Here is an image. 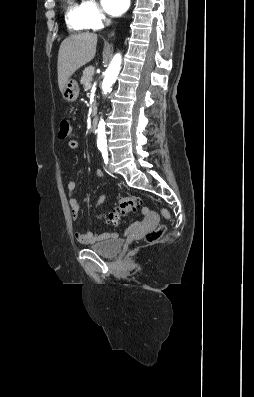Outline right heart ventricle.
I'll list each match as a JSON object with an SVG mask.
<instances>
[{
	"label": "right heart ventricle",
	"mask_w": 254,
	"mask_h": 397,
	"mask_svg": "<svg viewBox=\"0 0 254 397\" xmlns=\"http://www.w3.org/2000/svg\"><path fill=\"white\" fill-rule=\"evenodd\" d=\"M65 21L68 29L73 32L90 29L84 18L82 3L76 0H66Z\"/></svg>",
	"instance_id": "obj_1"
}]
</instances>
